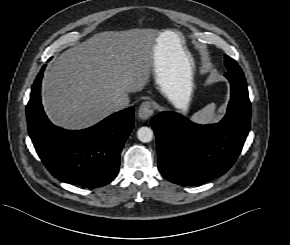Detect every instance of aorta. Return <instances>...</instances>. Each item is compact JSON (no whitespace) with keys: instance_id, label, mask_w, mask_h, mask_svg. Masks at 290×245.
I'll return each instance as SVG.
<instances>
[{"instance_id":"1","label":"aorta","mask_w":290,"mask_h":245,"mask_svg":"<svg viewBox=\"0 0 290 245\" xmlns=\"http://www.w3.org/2000/svg\"><path fill=\"white\" fill-rule=\"evenodd\" d=\"M153 136H154L153 130L146 126L139 128L137 131V137L143 143H148L152 141Z\"/></svg>"}]
</instances>
